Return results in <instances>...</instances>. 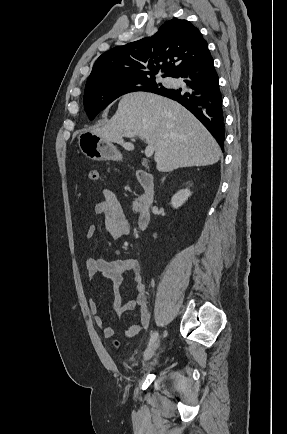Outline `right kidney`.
I'll return each mask as SVG.
<instances>
[{
  "label": "right kidney",
  "instance_id": "right-kidney-1",
  "mask_svg": "<svg viewBox=\"0 0 287 434\" xmlns=\"http://www.w3.org/2000/svg\"><path fill=\"white\" fill-rule=\"evenodd\" d=\"M191 195V192L189 189H182L179 190L172 198H171V205L173 208L177 209L180 206H182L185 201L188 199V197Z\"/></svg>",
  "mask_w": 287,
  "mask_h": 434
}]
</instances>
